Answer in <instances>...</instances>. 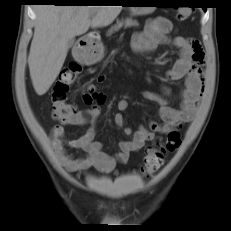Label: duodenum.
<instances>
[{
  "mask_svg": "<svg viewBox=\"0 0 231 231\" xmlns=\"http://www.w3.org/2000/svg\"><path fill=\"white\" fill-rule=\"evenodd\" d=\"M87 36H93L92 34L88 33Z\"/></svg>",
  "mask_w": 231,
  "mask_h": 231,
  "instance_id": "410a0bca",
  "label": "duodenum"
}]
</instances>
